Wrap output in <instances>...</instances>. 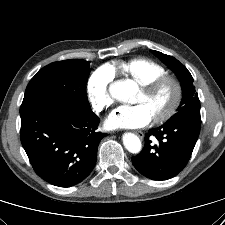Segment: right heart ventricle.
<instances>
[{"instance_id": "1", "label": "right heart ventricle", "mask_w": 225, "mask_h": 225, "mask_svg": "<svg viewBox=\"0 0 225 225\" xmlns=\"http://www.w3.org/2000/svg\"><path fill=\"white\" fill-rule=\"evenodd\" d=\"M118 68L129 78L139 84L151 81L166 74L165 69L148 58H133L122 62ZM113 70V68H111Z\"/></svg>"}]
</instances>
